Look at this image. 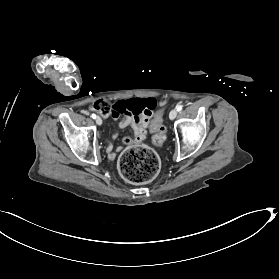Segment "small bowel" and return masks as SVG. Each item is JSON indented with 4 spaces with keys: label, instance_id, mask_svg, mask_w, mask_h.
<instances>
[{
    "label": "small bowel",
    "instance_id": "small-bowel-1",
    "mask_svg": "<svg viewBox=\"0 0 279 279\" xmlns=\"http://www.w3.org/2000/svg\"><path fill=\"white\" fill-rule=\"evenodd\" d=\"M114 117H118L120 114L117 112L112 113ZM152 116V112H146L139 115H127L119 123L120 128L130 127L133 131V135L130 137H125L122 140L123 145H134L143 142L146 138L147 128L149 125V120ZM118 134L113 136L116 139ZM107 153L109 158L114 159L116 157V152L122 150L121 145H114L111 141L108 142Z\"/></svg>",
    "mask_w": 279,
    "mask_h": 279
}]
</instances>
